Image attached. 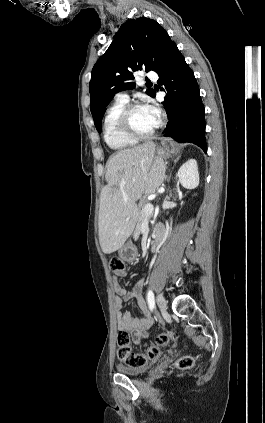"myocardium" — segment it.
<instances>
[{
  "label": "myocardium",
  "instance_id": "1",
  "mask_svg": "<svg viewBox=\"0 0 265 423\" xmlns=\"http://www.w3.org/2000/svg\"><path fill=\"white\" fill-rule=\"evenodd\" d=\"M140 107H146V105L142 102H131L125 105L123 110L121 111L119 118H118V127L120 131L128 138L136 140V141H142L150 139L155 135V133L159 130L161 126V121L159 120L156 127L148 132V133H138L136 132L130 122V115L131 113Z\"/></svg>",
  "mask_w": 265,
  "mask_h": 423
}]
</instances>
